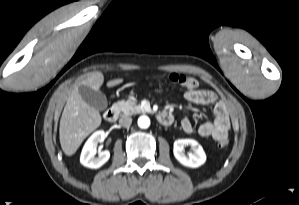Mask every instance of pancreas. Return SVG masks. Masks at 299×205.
Returning <instances> with one entry per match:
<instances>
[{"label":"pancreas","instance_id":"1","mask_svg":"<svg viewBox=\"0 0 299 205\" xmlns=\"http://www.w3.org/2000/svg\"><path fill=\"white\" fill-rule=\"evenodd\" d=\"M114 107L124 115L143 113L144 109L133 100H122L114 104Z\"/></svg>","mask_w":299,"mask_h":205}]
</instances>
